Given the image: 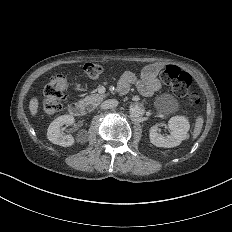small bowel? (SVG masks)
Listing matches in <instances>:
<instances>
[{"mask_svg":"<svg viewBox=\"0 0 232 232\" xmlns=\"http://www.w3.org/2000/svg\"><path fill=\"white\" fill-rule=\"evenodd\" d=\"M159 68V65L152 64L142 73L139 87L145 97H152L160 88V83L156 78ZM125 75L126 77H132V74L129 72H127Z\"/></svg>","mask_w":232,"mask_h":232,"instance_id":"1","label":"small bowel"}]
</instances>
